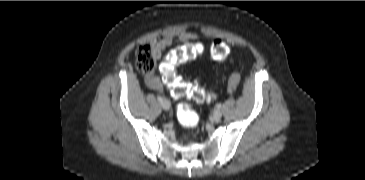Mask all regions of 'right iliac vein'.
Here are the masks:
<instances>
[{
    "label": "right iliac vein",
    "mask_w": 365,
    "mask_h": 180,
    "mask_svg": "<svg viewBox=\"0 0 365 180\" xmlns=\"http://www.w3.org/2000/svg\"><path fill=\"white\" fill-rule=\"evenodd\" d=\"M161 106L164 110H169L170 109V103L168 100L163 99L161 102Z\"/></svg>",
    "instance_id": "1"
}]
</instances>
